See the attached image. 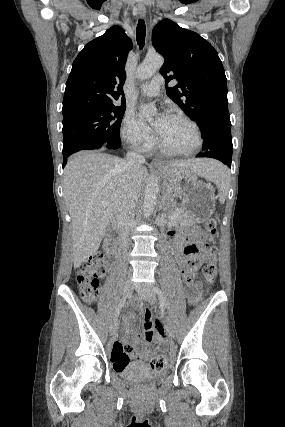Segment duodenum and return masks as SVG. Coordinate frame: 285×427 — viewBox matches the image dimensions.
Segmentation results:
<instances>
[{"label": "duodenum", "instance_id": "410a0bca", "mask_svg": "<svg viewBox=\"0 0 285 427\" xmlns=\"http://www.w3.org/2000/svg\"><path fill=\"white\" fill-rule=\"evenodd\" d=\"M121 227V217H118L115 222L113 223V231L114 233H118L119 229ZM121 250V242L118 234H116L112 239L110 243V252L112 257H116L118 253Z\"/></svg>", "mask_w": 285, "mask_h": 427}]
</instances>
